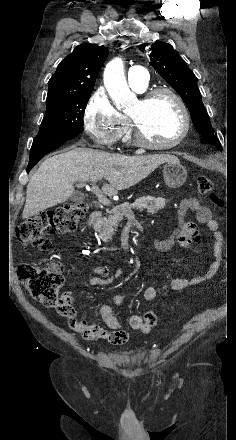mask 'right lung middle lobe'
Listing matches in <instances>:
<instances>
[{"label":"right lung middle lobe","mask_w":236,"mask_h":440,"mask_svg":"<svg viewBox=\"0 0 236 440\" xmlns=\"http://www.w3.org/2000/svg\"><path fill=\"white\" fill-rule=\"evenodd\" d=\"M89 98L90 93H85L71 99L46 103V113L36 137L78 135L84 130L83 115Z\"/></svg>","instance_id":"1"}]
</instances>
